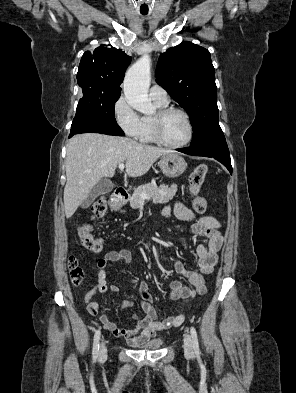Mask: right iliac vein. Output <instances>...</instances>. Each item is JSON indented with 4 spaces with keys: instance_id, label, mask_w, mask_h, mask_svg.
Here are the masks:
<instances>
[{
    "instance_id": "63e3f726",
    "label": "right iliac vein",
    "mask_w": 296,
    "mask_h": 393,
    "mask_svg": "<svg viewBox=\"0 0 296 393\" xmlns=\"http://www.w3.org/2000/svg\"><path fill=\"white\" fill-rule=\"evenodd\" d=\"M107 357V347L105 340L101 341L100 351H99V359L104 360Z\"/></svg>"
}]
</instances>
